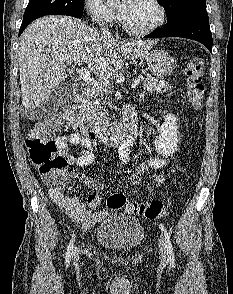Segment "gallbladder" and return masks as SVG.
Instances as JSON below:
<instances>
[{"mask_svg":"<svg viewBox=\"0 0 233 294\" xmlns=\"http://www.w3.org/2000/svg\"><path fill=\"white\" fill-rule=\"evenodd\" d=\"M71 94V90L65 83H61L56 86L47 100L43 103V107L46 112H51L59 108L64 102H66Z\"/></svg>","mask_w":233,"mask_h":294,"instance_id":"gallbladder-1","label":"gallbladder"}]
</instances>
